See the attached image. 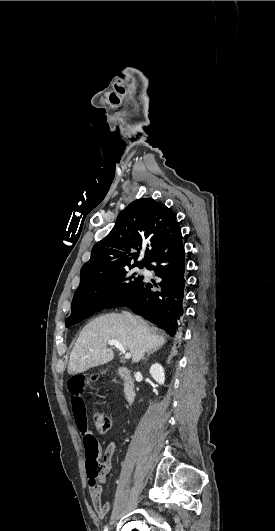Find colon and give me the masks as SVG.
I'll use <instances>...</instances> for the list:
<instances>
[{
	"label": "colon",
	"instance_id": "colon-1",
	"mask_svg": "<svg viewBox=\"0 0 275 531\" xmlns=\"http://www.w3.org/2000/svg\"><path fill=\"white\" fill-rule=\"evenodd\" d=\"M83 377H88L92 381V376H90V375L81 376V378H83ZM98 378H99V375H96V379H98ZM86 393H90V392H86ZM86 399H87V402H89V398H86ZM86 406H87V410H89L91 408V405L89 403H87ZM94 423H95L96 429L101 434L107 433L109 431L110 427H111V420H110L109 416L106 413H103V412H96L95 413ZM105 466H106V463L104 462L103 464H101L99 466V469L104 468Z\"/></svg>",
	"mask_w": 275,
	"mask_h": 531
}]
</instances>
